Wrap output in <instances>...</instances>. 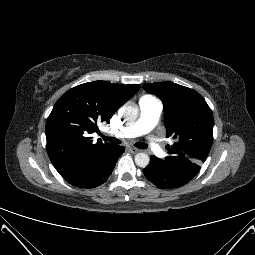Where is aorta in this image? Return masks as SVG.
I'll return each instance as SVG.
<instances>
[{
	"mask_svg": "<svg viewBox=\"0 0 255 255\" xmlns=\"http://www.w3.org/2000/svg\"><path fill=\"white\" fill-rule=\"evenodd\" d=\"M122 117L129 122L137 119L139 110L136 106L125 105L121 108ZM150 162V157L144 152H139L135 155V163L137 166L145 168Z\"/></svg>",
	"mask_w": 255,
	"mask_h": 255,
	"instance_id": "1",
	"label": "aorta"
}]
</instances>
